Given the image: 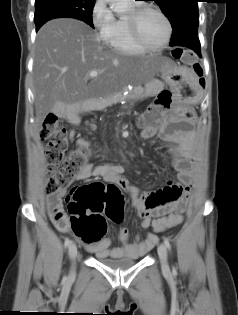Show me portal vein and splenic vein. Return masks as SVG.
Masks as SVG:
<instances>
[{
  "instance_id": "1",
  "label": "portal vein and splenic vein",
  "mask_w": 238,
  "mask_h": 315,
  "mask_svg": "<svg viewBox=\"0 0 238 315\" xmlns=\"http://www.w3.org/2000/svg\"><path fill=\"white\" fill-rule=\"evenodd\" d=\"M89 75H90V77L95 78V77L98 76V72H97V71H91V72L89 73Z\"/></svg>"
}]
</instances>
